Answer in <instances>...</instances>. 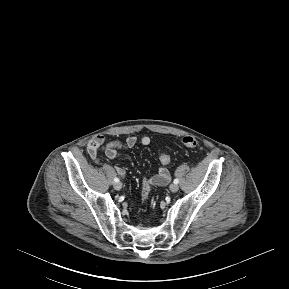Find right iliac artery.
I'll use <instances>...</instances> for the list:
<instances>
[{"label": "right iliac artery", "instance_id": "obj_1", "mask_svg": "<svg viewBox=\"0 0 289 289\" xmlns=\"http://www.w3.org/2000/svg\"><path fill=\"white\" fill-rule=\"evenodd\" d=\"M119 181H120L119 178H117V177L114 178L115 183H118Z\"/></svg>", "mask_w": 289, "mask_h": 289}]
</instances>
